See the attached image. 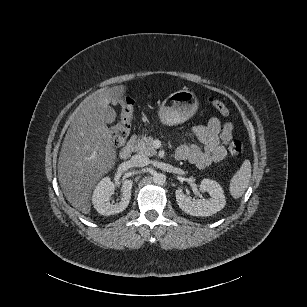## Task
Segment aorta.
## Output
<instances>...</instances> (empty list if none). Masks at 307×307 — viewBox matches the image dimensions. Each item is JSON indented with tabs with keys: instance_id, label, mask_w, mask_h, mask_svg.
<instances>
[{
	"instance_id": "obj_1",
	"label": "aorta",
	"mask_w": 307,
	"mask_h": 307,
	"mask_svg": "<svg viewBox=\"0 0 307 307\" xmlns=\"http://www.w3.org/2000/svg\"><path fill=\"white\" fill-rule=\"evenodd\" d=\"M153 182L158 185H163L166 182V176L163 173H154Z\"/></svg>"
}]
</instances>
